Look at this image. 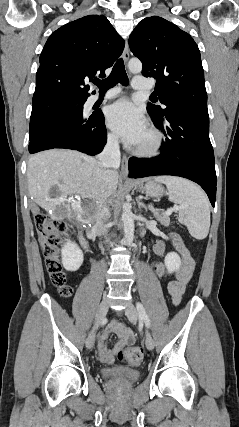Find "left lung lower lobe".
<instances>
[{"mask_svg": "<svg viewBox=\"0 0 239 427\" xmlns=\"http://www.w3.org/2000/svg\"><path fill=\"white\" fill-rule=\"evenodd\" d=\"M152 119L166 136L162 152L152 159L131 158L129 177L173 175L190 179L205 190L214 207L217 180L209 139V117L175 110L166 113L161 120Z\"/></svg>", "mask_w": 239, "mask_h": 427, "instance_id": "obj_1", "label": "left lung lower lobe"}]
</instances>
